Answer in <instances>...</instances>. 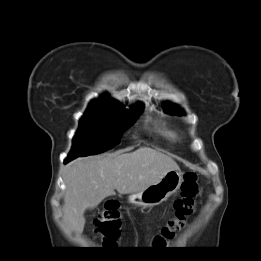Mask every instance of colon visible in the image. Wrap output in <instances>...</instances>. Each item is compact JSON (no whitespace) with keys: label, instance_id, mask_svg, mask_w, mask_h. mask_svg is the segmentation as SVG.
I'll return each instance as SVG.
<instances>
[{"label":"colon","instance_id":"obj_1","mask_svg":"<svg viewBox=\"0 0 261 261\" xmlns=\"http://www.w3.org/2000/svg\"><path fill=\"white\" fill-rule=\"evenodd\" d=\"M199 185L194 173L188 172L181 185L180 197L174 202V217L161 229L154 239L155 246H162L175 236L188 216L195 210V201L199 195ZM95 232L101 238L103 245L114 247L120 236L121 214L116 204L107 205L94 220Z\"/></svg>","mask_w":261,"mask_h":261}]
</instances>
